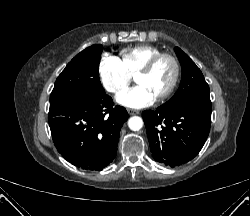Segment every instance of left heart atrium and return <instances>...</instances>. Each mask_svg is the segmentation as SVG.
<instances>
[{
  "label": "left heart atrium",
  "instance_id": "left-heart-atrium-1",
  "mask_svg": "<svg viewBox=\"0 0 250 216\" xmlns=\"http://www.w3.org/2000/svg\"><path fill=\"white\" fill-rule=\"evenodd\" d=\"M154 95L147 89L146 86L138 84L137 86L120 94L117 102L120 105L139 109L150 105L154 101Z\"/></svg>",
  "mask_w": 250,
  "mask_h": 216
}]
</instances>
